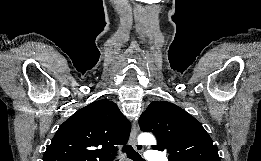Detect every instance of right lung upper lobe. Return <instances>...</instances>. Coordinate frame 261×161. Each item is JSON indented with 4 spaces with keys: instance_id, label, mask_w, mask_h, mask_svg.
<instances>
[{
    "instance_id": "right-lung-upper-lobe-1",
    "label": "right lung upper lobe",
    "mask_w": 261,
    "mask_h": 161,
    "mask_svg": "<svg viewBox=\"0 0 261 161\" xmlns=\"http://www.w3.org/2000/svg\"><path fill=\"white\" fill-rule=\"evenodd\" d=\"M130 129L114 102L94 101L59 127L43 161H111L116 145L127 142Z\"/></svg>"
}]
</instances>
